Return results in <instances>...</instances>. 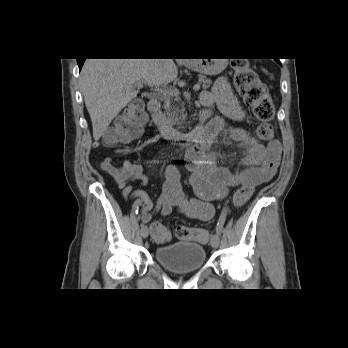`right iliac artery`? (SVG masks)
<instances>
[{
  "mask_svg": "<svg viewBox=\"0 0 348 348\" xmlns=\"http://www.w3.org/2000/svg\"><path fill=\"white\" fill-rule=\"evenodd\" d=\"M141 206V199H133V215H139V207ZM134 219H138V216H134Z\"/></svg>",
  "mask_w": 348,
  "mask_h": 348,
  "instance_id": "82829eb1",
  "label": "right iliac artery"
}]
</instances>
